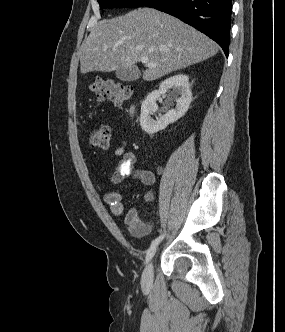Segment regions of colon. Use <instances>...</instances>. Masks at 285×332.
Masks as SVG:
<instances>
[{"label":"colon","instance_id":"5ec220e1","mask_svg":"<svg viewBox=\"0 0 285 332\" xmlns=\"http://www.w3.org/2000/svg\"><path fill=\"white\" fill-rule=\"evenodd\" d=\"M90 89L99 102L109 99L118 106L129 99L132 93L130 86L112 79H97L92 82ZM110 138V128L102 125L91 132L89 142L93 148L106 151L110 145Z\"/></svg>","mask_w":285,"mask_h":332}]
</instances>
